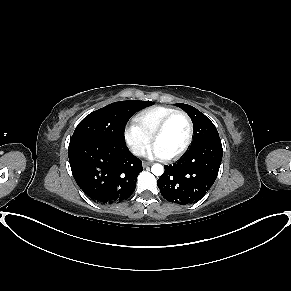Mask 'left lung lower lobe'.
Returning a JSON list of instances; mask_svg holds the SVG:
<instances>
[{"label": "left lung lower lobe", "instance_id": "left-lung-lower-lobe-1", "mask_svg": "<svg viewBox=\"0 0 291 291\" xmlns=\"http://www.w3.org/2000/svg\"><path fill=\"white\" fill-rule=\"evenodd\" d=\"M223 149L220 137L191 146L173 165H165L157 180L161 195L169 202L181 205L200 200L215 182Z\"/></svg>", "mask_w": 291, "mask_h": 291}]
</instances>
